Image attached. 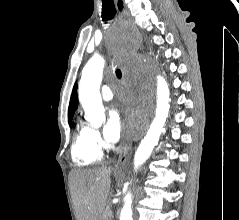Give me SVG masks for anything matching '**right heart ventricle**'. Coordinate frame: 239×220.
Wrapping results in <instances>:
<instances>
[{
	"mask_svg": "<svg viewBox=\"0 0 239 220\" xmlns=\"http://www.w3.org/2000/svg\"><path fill=\"white\" fill-rule=\"evenodd\" d=\"M101 157V150L91 140V128L79 120L71 147L73 163L79 167L91 166L98 163Z\"/></svg>",
	"mask_w": 239,
	"mask_h": 220,
	"instance_id": "obj_1",
	"label": "right heart ventricle"
}]
</instances>
